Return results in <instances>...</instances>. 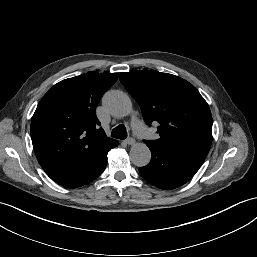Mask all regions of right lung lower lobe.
<instances>
[{
	"label": "right lung lower lobe",
	"instance_id": "obj_1",
	"mask_svg": "<svg viewBox=\"0 0 257 257\" xmlns=\"http://www.w3.org/2000/svg\"><path fill=\"white\" fill-rule=\"evenodd\" d=\"M117 145L118 142L116 141V143H114L110 149L116 147ZM108 151L104 153L99 159L95 160L93 163L81 170L78 174L62 176L53 180L62 186L70 188H75L87 184L88 182L97 178L104 171L107 164Z\"/></svg>",
	"mask_w": 257,
	"mask_h": 257
}]
</instances>
